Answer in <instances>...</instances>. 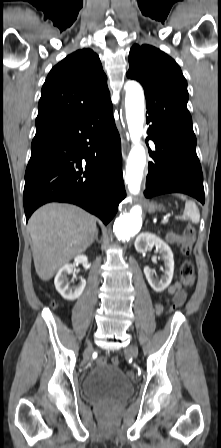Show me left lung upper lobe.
Wrapping results in <instances>:
<instances>
[{
	"mask_svg": "<svg viewBox=\"0 0 221 448\" xmlns=\"http://www.w3.org/2000/svg\"><path fill=\"white\" fill-rule=\"evenodd\" d=\"M127 77L143 86L149 116L194 135L186 107L187 81L171 57L151 45L135 44L129 53Z\"/></svg>",
	"mask_w": 221,
	"mask_h": 448,
	"instance_id": "5c2ea615",
	"label": "left lung upper lobe"
}]
</instances>
